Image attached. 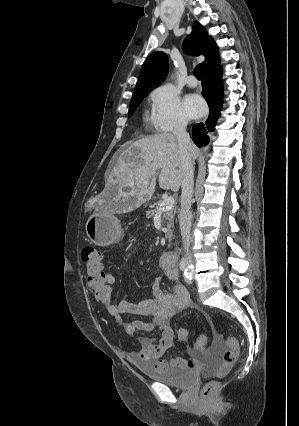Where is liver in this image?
Wrapping results in <instances>:
<instances>
[{
	"mask_svg": "<svg viewBox=\"0 0 299 426\" xmlns=\"http://www.w3.org/2000/svg\"><path fill=\"white\" fill-rule=\"evenodd\" d=\"M192 163L199 150L191 143ZM182 149L171 133L155 134L125 145L112 169L99 203L113 212H130L151 199L156 180L177 192L182 183ZM148 184L144 185L143 182Z\"/></svg>",
	"mask_w": 299,
	"mask_h": 426,
	"instance_id": "6515ba94",
	"label": "liver"
}]
</instances>
